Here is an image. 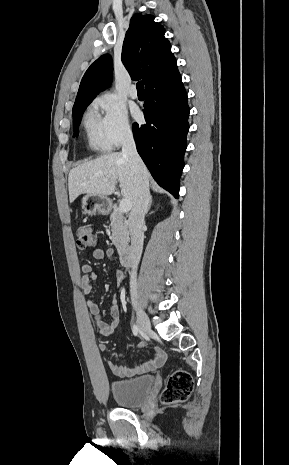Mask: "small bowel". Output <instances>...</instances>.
<instances>
[{"label":"small bowel","mask_w":289,"mask_h":465,"mask_svg":"<svg viewBox=\"0 0 289 465\" xmlns=\"http://www.w3.org/2000/svg\"><path fill=\"white\" fill-rule=\"evenodd\" d=\"M93 256L95 259L101 260L107 258L111 262H115V254L112 249H107L103 251L102 249H95L93 251ZM83 276L79 280V285L82 288L83 292L87 295L91 294L94 289V284L97 280V274L93 271L91 265L84 264L81 267ZM117 282L118 287L121 288L126 278V273L120 270L117 271ZM87 307L90 313L94 316L96 324L99 330L100 335L109 336L114 328L118 325L119 322V307L117 296L114 295L111 300V306L109 311V320H103L98 304L93 300L87 301ZM99 350L101 352H106L107 345L101 343L99 345ZM165 361V354L161 349H154L150 358L141 365L138 366H125L117 365L112 361H108L107 365L110 370L119 377H132L135 375H140L148 372H152L157 368L161 367Z\"/></svg>","instance_id":"1"}]
</instances>
